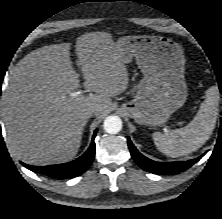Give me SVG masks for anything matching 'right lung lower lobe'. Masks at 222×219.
Returning <instances> with one entry per match:
<instances>
[{
  "mask_svg": "<svg viewBox=\"0 0 222 219\" xmlns=\"http://www.w3.org/2000/svg\"><path fill=\"white\" fill-rule=\"evenodd\" d=\"M96 132L97 131L94 132L93 139L88 150L74 161L50 166H32L25 163H22V165L33 172L41 173L57 179H70L77 177L84 173L94 160L96 149L94 138L96 136Z\"/></svg>",
  "mask_w": 222,
  "mask_h": 219,
  "instance_id": "98d812e1",
  "label": "right lung lower lobe"
}]
</instances>
